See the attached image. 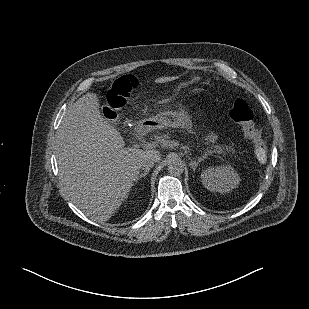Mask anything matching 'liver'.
I'll return each mask as SVG.
<instances>
[{
  "label": "liver",
  "mask_w": 309,
  "mask_h": 309,
  "mask_svg": "<svg viewBox=\"0 0 309 309\" xmlns=\"http://www.w3.org/2000/svg\"><path fill=\"white\" fill-rule=\"evenodd\" d=\"M96 93L70 106L57 134L59 177L70 200L87 216L109 220L138 180L142 161L157 150L124 148L120 133L103 118Z\"/></svg>",
  "instance_id": "6515ba94"
}]
</instances>
